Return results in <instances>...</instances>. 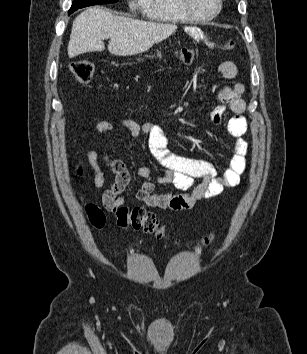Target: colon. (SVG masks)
<instances>
[{"label": "colon", "instance_id": "5ec220e1", "mask_svg": "<svg viewBox=\"0 0 307 354\" xmlns=\"http://www.w3.org/2000/svg\"><path fill=\"white\" fill-rule=\"evenodd\" d=\"M232 42H227L223 45L224 49H230ZM179 59L186 63H192L196 58V53L193 49L183 48L177 52ZM69 72L73 78L81 83L88 84L91 82L94 74V66L88 60H76L69 65ZM112 211L115 212L117 224L121 227H132L146 234L156 236L158 239L167 240L168 235L163 226L160 225L156 216L147 211L143 207L128 208L125 206H112ZM86 213L91 223L100 228L105 223L104 212L95 204L88 203L86 205ZM212 240L211 236H206L203 240L208 244Z\"/></svg>", "mask_w": 307, "mask_h": 354}]
</instances>
